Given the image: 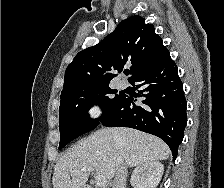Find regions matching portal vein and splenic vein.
I'll use <instances>...</instances> for the list:
<instances>
[{
	"label": "portal vein and splenic vein",
	"mask_w": 224,
	"mask_h": 188,
	"mask_svg": "<svg viewBox=\"0 0 224 188\" xmlns=\"http://www.w3.org/2000/svg\"><path fill=\"white\" fill-rule=\"evenodd\" d=\"M93 170H94L93 167H89V168L82 169L80 171H74V172H72L71 175H78V174L83 173L85 171H93ZM107 182L108 181H107V178L105 176L97 175L95 177V183H96V186L98 188H105L107 186Z\"/></svg>",
	"instance_id": "18ae733b"
}]
</instances>
